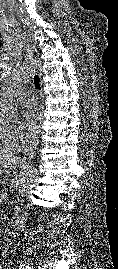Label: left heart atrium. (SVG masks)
Listing matches in <instances>:
<instances>
[{"label":"left heart atrium","instance_id":"left-heart-atrium-1","mask_svg":"<svg viewBox=\"0 0 118 269\" xmlns=\"http://www.w3.org/2000/svg\"><path fill=\"white\" fill-rule=\"evenodd\" d=\"M43 120V109L37 103L28 107L24 113L25 125L29 132L33 135L40 131Z\"/></svg>","mask_w":118,"mask_h":269}]
</instances>
